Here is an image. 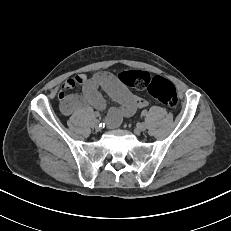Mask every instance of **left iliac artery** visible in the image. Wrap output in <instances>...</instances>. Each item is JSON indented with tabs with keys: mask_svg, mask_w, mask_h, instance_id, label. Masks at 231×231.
Segmentation results:
<instances>
[{
	"mask_svg": "<svg viewBox=\"0 0 231 231\" xmlns=\"http://www.w3.org/2000/svg\"><path fill=\"white\" fill-rule=\"evenodd\" d=\"M141 114H142V116H146L147 115V111L143 110Z\"/></svg>",
	"mask_w": 231,
	"mask_h": 231,
	"instance_id": "left-iliac-artery-1",
	"label": "left iliac artery"
}]
</instances>
